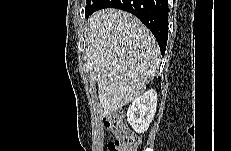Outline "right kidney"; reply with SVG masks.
I'll return each mask as SVG.
<instances>
[{"label":"right kidney","mask_w":231,"mask_h":151,"mask_svg":"<svg viewBox=\"0 0 231 151\" xmlns=\"http://www.w3.org/2000/svg\"><path fill=\"white\" fill-rule=\"evenodd\" d=\"M157 107V93L151 89L139 96L127 110V120L137 133H144L152 122Z\"/></svg>","instance_id":"right-kidney-1"}]
</instances>
